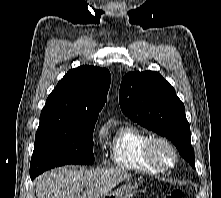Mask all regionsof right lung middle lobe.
I'll use <instances>...</instances> for the list:
<instances>
[{
	"mask_svg": "<svg viewBox=\"0 0 221 198\" xmlns=\"http://www.w3.org/2000/svg\"><path fill=\"white\" fill-rule=\"evenodd\" d=\"M94 127L83 131L37 129L30 177L67 164H92Z\"/></svg>",
	"mask_w": 221,
	"mask_h": 198,
	"instance_id": "dd1d6c3e",
	"label": "right lung middle lobe"
}]
</instances>
